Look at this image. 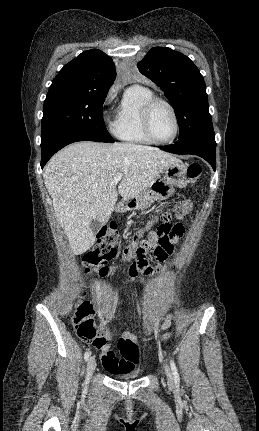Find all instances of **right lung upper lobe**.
I'll use <instances>...</instances> for the list:
<instances>
[{
    "label": "right lung upper lobe",
    "instance_id": "obj_1",
    "mask_svg": "<svg viewBox=\"0 0 259 431\" xmlns=\"http://www.w3.org/2000/svg\"><path fill=\"white\" fill-rule=\"evenodd\" d=\"M115 78L112 59L101 50L92 49L67 63L53 79L49 91L63 89L105 93Z\"/></svg>",
    "mask_w": 259,
    "mask_h": 431
}]
</instances>
